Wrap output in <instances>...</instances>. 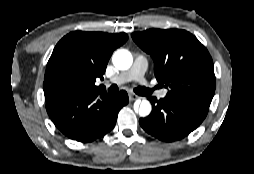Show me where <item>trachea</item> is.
Segmentation results:
<instances>
[{
    "mask_svg": "<svg viewBox=\"0 0 254 174\" xmlns=\"http://www.w3.org/2000/svg\"><path fill=\"white\" fill-rule=\"evenodd\" d=\"M118 92V86L113 84L109 88V93L114 94ZM134 92L140 96H147L153 92V89L145 88V87H137L134 89Z\"/></svg>",
    "mask_w": 254,
    "mask_h": 174,
    "instance_id": "trachea-1",
    "label": "trachea"
}]
</instances>
